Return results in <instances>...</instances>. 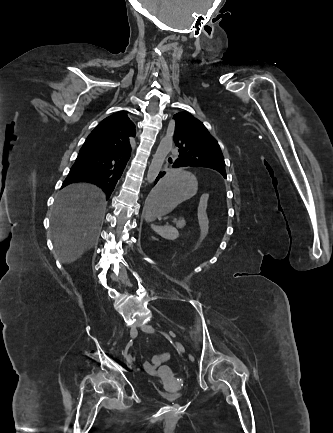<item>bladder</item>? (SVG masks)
I'll list each match as a JSON object with an SVG mask.
<instances>
[{
  "mask_svg": "<svg viewBox=\"0 0 333 433\" xmlns=\"http://www.w3.org/2000/svg\"><path fill=\"white\" fill-rule=\"evenodd\" d=\"M160 397L168 402H175L183 398L184 393L181 391L170 392L166 390H162L159 392Z\"/></svg>",
  "mask_w": 333,
  "mask_h": 433,
  "instance_id": "bladder-1",
  "label": "bladder"
}]
</instances>
